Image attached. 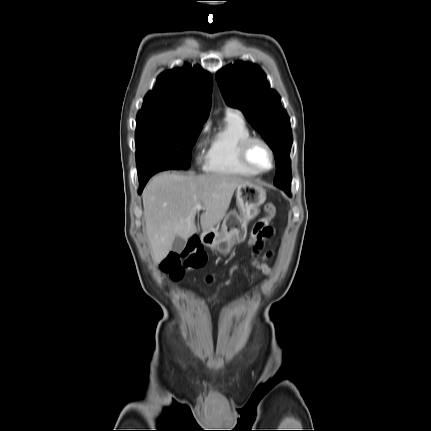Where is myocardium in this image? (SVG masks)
Listing matches in <instances>:
<instances>
[{
    "label": "myocardium",
    "instance_id": "f54148a6",
    "mask_svg": "<svg viewBox=\"0 0 431 431\" xmlns=\"http://www.w3.org/2000/svg\"><path fill=\"white\" fill-rule=\"evenodd\" d=\"M254 143H261L262 145H264L266 147V149L270 153L271 166L268 169H260V168L256 167L250 161L249 150H250L251 145ZM239 159L245 167H247L248 169H250L251 171H253L257 174L268 173V172L272 171L276 165V155H275V152H274L272 146L265 139H263L261 137H257V136H250L241 142L240 147H239Z\"/></svg>",
    "mask_w": 431,
    "mask_h": 431
}]
</instances>
